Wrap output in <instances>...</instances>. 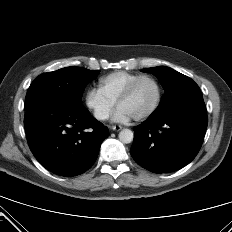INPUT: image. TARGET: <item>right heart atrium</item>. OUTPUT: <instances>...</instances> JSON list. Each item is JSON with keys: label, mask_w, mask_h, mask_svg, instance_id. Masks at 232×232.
Instances as JSON below:
<instances>
[{"label": "right heart atrium", "mask_w": 232, "mask_h": 232, "mask_svg": "<svg viewBox=\"0 0 232 232\" xmlns=\"http://www.w3.org/2000/svg\"><path fill=\"white\" fill-rule=\"evenodd\" d=\"M85 106L91 115L100 122L106 121L113 112L115 104L94 87L89 88L84 96Z\"/></svg>", "instance_id": "1"}]
</instances>
